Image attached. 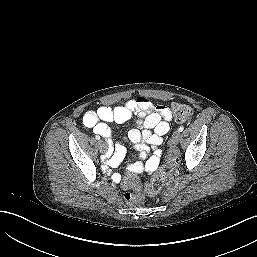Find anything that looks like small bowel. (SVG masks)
Instances as JSON below:
<instances>
[{"mask_svg": "<svg viewBox=\"0 0 257 257\" xmlns=\"http://www.w3.org/2000/svg\"><path fill=\"white\" fill-rule=\"evenodd\" d=\"M132 116H136L137 120L135 126L128 131L127 140L135 145L141 157L148 156L144 166L137 164L133 169L153 172L157 169L161 157V152L156 146L162 143L173 118L168 107L156 106L145 97H137L121 106L102 105L96 110L87 111L83 116V124L107 140L109 144L107 164L110 167H117L124 159L126 151L120 144L113 145L108 123H123ZM113 179L115 182L120 181L118 174H114ZM123 187L127 189L129 186L124 183Z\"/></svg>", "mask_w": 257, "mask_h": 257, "instance_id": "small-bowel-1", "label": "small bowel"}]
</instances>
